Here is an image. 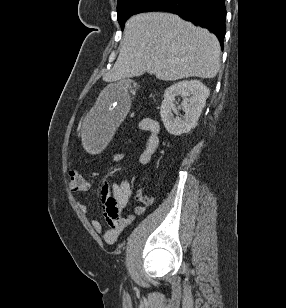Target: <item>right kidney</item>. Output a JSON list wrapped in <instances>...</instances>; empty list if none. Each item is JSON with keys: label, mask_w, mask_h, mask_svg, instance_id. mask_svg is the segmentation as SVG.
<instances>
[{"label": "right kidney", "mask_w": 286, "mask_h": 308, "mask_svg": "<svg viewBox=\"0 0 286 308\" xmlns=\"http://www.w3.org/2000/svg\"><path fill=\"white\" fill-rule=\"evenodd\" d=\"M184 98L181 106L184 111L183 119L174 117L175 97ZM209 96V89L198 80L180 81L168 87L164 92L160 115L162 122L171 135L179 136L193 129L205 106Z\"/></svg>", "instance_id": "right-kidney-1"}]
</instances>
